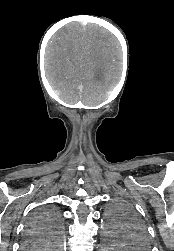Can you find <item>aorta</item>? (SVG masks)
Returning <instances> with one entry per match:
<instances>
[{"instance_id": "1", "label": "aorta", "mask_w": 174, "mask_h": 251, "mask_svg": "<svg viewBox=\"0 0 174 251\" xmlns=\"http://www.w3.org/2000/svg\"><path fill=\"white\" fill-rule=\"evenodd\" d=\"M100 243L102 246L101 250L104 251H116L122 250L123 244L120 241V237L115 235V232L111 231L109 225L104 222L100 228Z\"/></svg>"}]
</instances>
